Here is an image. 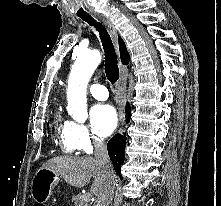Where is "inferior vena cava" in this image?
<instances>
[{
  "instance_id": "obj_1",
  "label": "inferior vena cava",
  "mask_w": 221,
  "mask_h": 206,
  "mask_svg": "<svg viewBox=\"0 0 221 206\" xmlns=\"http://www.w3.org/2000/svg\"><path fill=\"white\" fill-rule=\"evenodd\" d=\"M94 155L104 173V186L94 206H109L115 190V174L108 156L106 144L102 139L94 141Z\"/></svg>"
}]
</instances>
